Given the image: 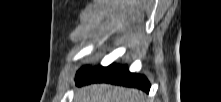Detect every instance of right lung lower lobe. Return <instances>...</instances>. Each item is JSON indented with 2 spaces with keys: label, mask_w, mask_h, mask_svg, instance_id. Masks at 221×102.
Returning <instances> with one entry per match:
<instances>
[{
  "label": "right lung lower lobe",
  "mask_w": 221,
  "mask_h": 102,
  "mask_svg": "<svg viewBox=\"0 0 221 102\" xmlns=\"http://www.w3.org/2000/svg\"><path fill=\"white\" fill-rule=\"evenodd\" d=\"M105 82L128 87H137L145 92H149L150 83L143 75L130 73L125 66L110 65L108 67L98 66L95 68H82L76 75L78 86Z\"/></svg>",
  "instance_id": "obj_1"
}]
</instances>
